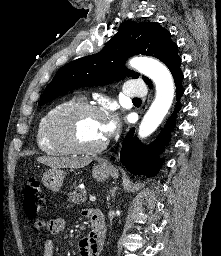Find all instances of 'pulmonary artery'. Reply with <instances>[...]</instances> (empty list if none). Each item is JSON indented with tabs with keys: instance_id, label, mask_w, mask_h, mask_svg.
Segmentation results:
<instances>
[{
	"instance_id": "1",
	"label": "pulmonary artery",
	"mask_w": 221,
	"mask_h": 256,
	"mask_svg": "<svg viewBox=\"0 0 221 256\" xmlns=\"http://www.w3.org/2000/svg\"><path fill=\"white\" fill-rule=\"evenodd\" d=\"M123 92L128 97H142L146 95L147 88L141 80H130L125 83Z\"/></svg>"
}]
</instances>
